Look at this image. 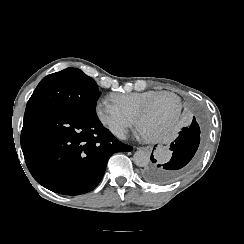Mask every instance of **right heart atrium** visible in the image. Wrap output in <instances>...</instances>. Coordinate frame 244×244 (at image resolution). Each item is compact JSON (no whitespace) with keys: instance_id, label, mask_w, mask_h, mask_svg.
<instances>
[{"instance_id":"obj_1","label":"right heart atrium","mask_w":244,"mask_h":244,"mask_svg":"<svg viewBox=\"0 0 244 244\" xmlns=\"http://www.w3.org/2000/svg\"><path fill=\"white\" fill-rule=\"evenodd\" d=\"M96 114L99 120L118 137H124L128 130L133 128L140 130V125L137 124L138 115L130 107L116 105L104 99L97 103Z\"/></svg>"}]
</instances>
